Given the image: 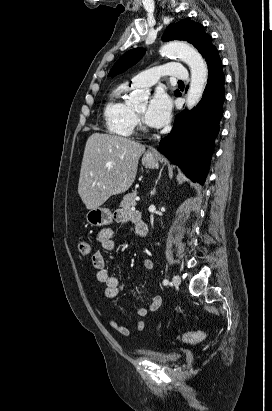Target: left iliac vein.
I'll return each instance as SVG.
<instances>
[{
    "instance_id": "1",
    "label": "left iliac vein",
    "mask_w": 272,
    "mask_h": 411,
    "mask_svg": "<svg viewBox=\"0 0 272 411\" xmlns=\"http://www.w3.org/2000/svg\"><path fill=\"white\" fill-rule=\"evenodd\" d=\"M174 286H179L181 284V278L178 275L173 276L172 279Z\"/></svg>"
}]
</instances>
